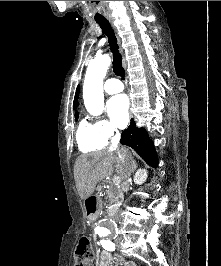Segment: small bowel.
<instances>
[{"instance_id": "1", "label": "small bowel", "mask_w": 221, "mask_h": 266, "mask_svg": "<svg viewBox=\"0 0 221 266\" xmlns=\"http://www.w3.org/2000/svg\"><path fill=\"white\" fill-rule=\"evenodd\" d=\"M137 266L134 262L124 260L122 258H114V256L107 251L102 252L97 260V266Z\"/></svg>"}]
</instances>
